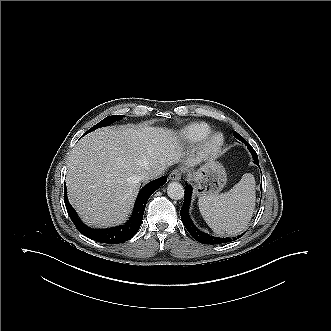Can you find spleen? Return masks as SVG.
I'll list each match as a JSON object with an SVG mask.
<instances>
[{
    "instance_id": "1",
    "label": "spleen",
    "mask_w": 331,
    "mask_h": 331,
    "mask_svg": "<svg viewBox=\"0 0 331 331\" xmlns=\"http://www.w3.org/2000/svg\"><path fill=\"white\" fill-rule=\"evenodd\" d=\"M255 179L246 173L228 192L199 197V210L216 234L237 235L247 229L255 208Z\"/></svg>"
}]
</instances>
